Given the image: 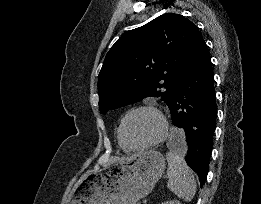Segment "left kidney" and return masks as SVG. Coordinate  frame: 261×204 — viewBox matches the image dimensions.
Segmentation results:
<instances>
[{"instance_id":"obj_1","label":"left kidney","mask_w":261,"mask_h":204,"mask_svg":"<svg viewBox=\"0 0 261 204\" xmlns=\"http://www.w3.org/2000/svg\"><path fill=\"white\" fill-rule=\"evenodd\" d=\"M161 204H181V203L180 201L177 200H171V201L162 202Z\"/></svg>"}]
</instances>
